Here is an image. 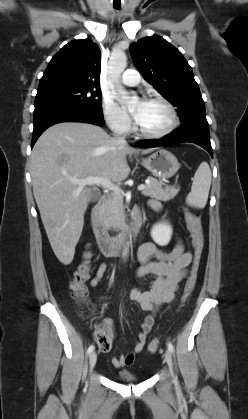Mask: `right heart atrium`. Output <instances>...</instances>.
<instances>
[{
    "instance_id": "d8ad5b80",
    "label": "right heart atrium",
    "mask_w": 248,
    "mask_h": 419,
    "mask_svg": "<svg viewBox=\"0 0 248 419\" xmlns=\"http://www.w3.org/2000/svg\"><path fill=\"white\" fill-rule=\"evenodd\" d=\"M102 114L108 127L118 134H127L131 130V119L121 109L111 96H106L102 101Z\"/></svg>"
}]
</instances>
